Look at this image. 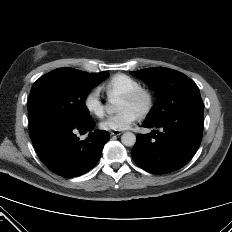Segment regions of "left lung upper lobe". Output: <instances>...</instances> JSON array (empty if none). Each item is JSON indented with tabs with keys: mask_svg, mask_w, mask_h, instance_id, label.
Here are the masks:
<instances>
[{
	"mask_svg": "<svg viewBox=\"0 0 232 232\" xmlns=\"http://www.w3.org/2000/svg\"><path fill=\"white\" fill-rule=\"evenodd\" d=\"M130 73L144 80L159 96L145 119L147 121L159 122L176 111L202 105L199 88L181 72L155 67Z\"/></svg>",
	"mask_w": 232,
	"mask_h": 232,
	"instance_id": "1",
	"label": "left lung upper lobe"
}]
</instances>
